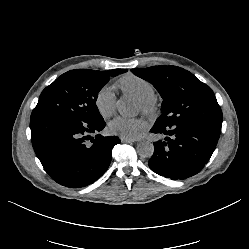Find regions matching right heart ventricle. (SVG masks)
Instances as JSON below:
<instances>
[{"label":"right heart ventricle","instance_id":"1","mask_svg":"<svg viewBox=\"0 0 249 249\" xmlns=\"http://www.w3.org/2000/svg\"><path fill=\"white\" fill-rule=\"evenodd\" d=\"M117 86L139 100H145L155 95L154 85L147 79L133 73L122 75Z\"/></svg>","mask_w":249,"mask_h":249}]
</instances>
